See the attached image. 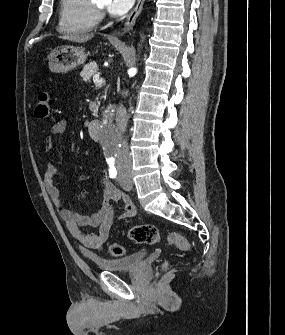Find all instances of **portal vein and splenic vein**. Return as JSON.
I'll return each instance as SVG.
<instances>
[{
  "label": "portal vein and splenic vein",
  "mask_w": 285,
  "mask_h": 335,
  "mask_svg": "<svg viewBox=\"0 0 285 335\" xmlns=\"http://www.w3.org/2000/svg\"><path fill=\"white\" fill-rule=\"evenodd\" d=\"M94 84H99V82H103L102 78H100L99 74H94L93 76Z\"/></svg>",
  "instance_id": "portal-vein-and-splenic-vein-1"
}]
</instances>
